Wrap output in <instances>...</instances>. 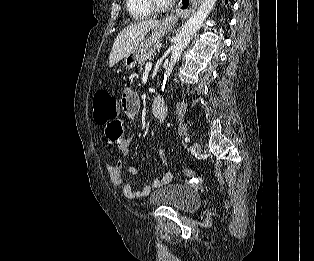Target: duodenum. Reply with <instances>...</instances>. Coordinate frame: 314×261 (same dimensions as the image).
Wrapping results in <instances>:
<instances>
[{
  "label": "duodenum",
  "mask_w": 314,
  "mask_h": 261,
  "mask_svg": "<svg viewBox=\"0 0 314 261\" xmlns=\"http://www.w3.org/2000/svg\"><path fill=\"white\" fill-rule=\"evenodd\" d=\"M166 108L167 104L162 98L155 97L153 99L151 104V113L156 119L161 120L164 117Z\"/></svg>",
  "instance_id": "1"
}]
</instances>
